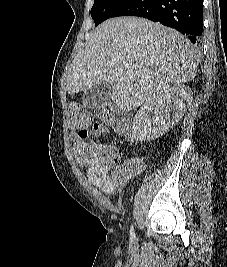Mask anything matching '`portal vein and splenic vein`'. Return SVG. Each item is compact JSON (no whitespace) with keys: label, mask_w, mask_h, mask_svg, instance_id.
Masks as SVG:
<instances>
[{"label":"portal vein and splenic vein","mask_w":227,"mask_h":267,"mask_svg":"<svg viewBox=\"0 0 227 267\" xmlns=\"http://www.w3.org/2000/svg\"><path fill=\"white\" fill-rule=\"evenodd\" d=\"M126 74L130 76V75H132V72L131 71H127Z\"/></svg>","instance_id":"18ae733b"}]
</instances>
